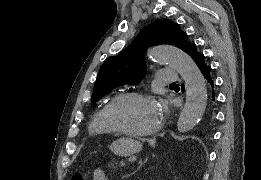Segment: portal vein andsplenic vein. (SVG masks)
<instances>
[{"label":"portal vein and splenic vein","mask_w":261,"mask_h":180,"mask_svg":"<svg viewBox=\"0 0 261 180\" xmlns=\"http://www.w3.org/2000/svg\"><path fill=\"white\" fill-rule=\"evenodd\" d=\"M116 165L121 166V167H126V162L125 161H117Z\"/></svg>","instance_id":"1"}]
</instances>
